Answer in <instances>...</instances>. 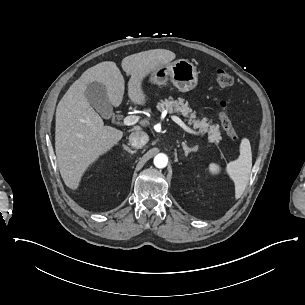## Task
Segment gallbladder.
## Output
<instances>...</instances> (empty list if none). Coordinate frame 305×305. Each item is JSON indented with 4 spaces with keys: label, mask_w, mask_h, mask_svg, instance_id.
<instances>
[{
    "label": "gallbladder",
    "mask_w": 305,
    "mask_h": 305,
    "mask_svg": "<svg viewBox=\"0 0 305 305\" xmlns=\"http://www.w3.org/2000/svg\"><path fill=\"white\" fill-rule=\"evenodd\" d=\"M88 102L101 114L104 118H109L112 114V104L108 100L105 87L98 83H91L85 92Z\"/></svg>",
    "instance_id": "obj_1"
}]
</instances>
